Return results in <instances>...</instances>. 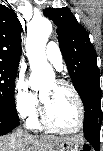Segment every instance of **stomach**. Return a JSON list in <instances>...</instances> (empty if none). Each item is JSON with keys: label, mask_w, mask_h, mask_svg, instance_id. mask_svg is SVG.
<instances>
[{"label": "stomach", "mask_w": 103, "mask_h": 151, "mask_svg": "<svg viewBox=\"0 0 103 151\" xmlns=\"http://www.w3.org/2000/svg\"><path fill=\"white\" fill-rule=\"evenodd\" d=\"M86 149L83 139L79 137L68 138L54 145L49 151H82Z\"/></svg>", "instance_id": "0dacf381"}]
</instances>
